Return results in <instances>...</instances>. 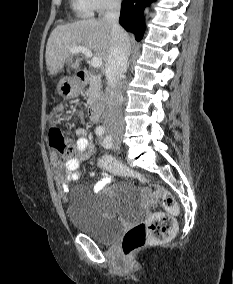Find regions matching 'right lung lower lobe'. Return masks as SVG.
<instances>
[{
	"instance_id": "98d812e1",
	"label": "right lung lower lobe",
	"mask_w": 233,
	"mask_h": 284,
	"mask_svg": "<svg viewBox=\"0 0 233 284\" xmlns=\"http://www.w3.org/2000/svg\"><path fill=\"white\" fill-rule=\"evenodd\" d=\"M154 0H123L119 23L141 40L145 30L143 10Z\"/></svg>"
}]
</instances>
